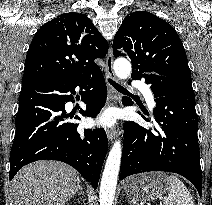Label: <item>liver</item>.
I'll return each instance as SVG.
<instances>
[{
	"mask_svg": "<svg viewBox=\"0 0 212 205\" xmlns=\"http://www.w3.org/2000/svg\"><path fill=\"white\" fill-rule=\"evenodd\" d=\"M79 177L72 167L41 160L23 167L11 182L14 205H65Z\"/></svg>",
	"mask_w": 212,
	"mask_h": 205,
	"instance_id": "obj_1",
	"label": "liver"
}]
</instances>
